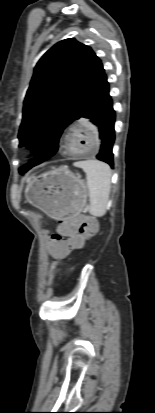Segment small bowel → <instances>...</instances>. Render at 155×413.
<instances>
[{"label":"small bowel","mask_w":155,"mask_h":413,"mask_svg":"<svg viewBox=\"0 0 155 413\" xmlns=\"http://www.w3.org/2000/svg\"><path fill=\"white\" fill-rule=\"evenodd\" d=\"M28 211H29V212H32V211H33V208H32V207H29V208H28ZM37 220H38V221H42V220H43V217H42V216H38V217H37ZM60 230H61L63 233H65V234L73 235V233H72L71 231L67 230L63 225H61Z\"/></svg>","instance_id":"c3829d8e"}]
</instances>
